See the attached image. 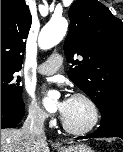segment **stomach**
Returning a JSON list of instances; mask_svg holds the SVG:
<instances>
[{"instance_id":"0dacf381","label":"stomach","mask_w":123,"mask_h":152,"mask_svg":"<svg viewBox=\"0 0 123 152\" xmlns=\"http://www.w3.org/2000/svg\"><path fill=\"white\" fill-rule=\"evenodd\" d=\"M60 152H94V151L85 144H77V145L61 148Z\"/></svg>"}]
</instances>
